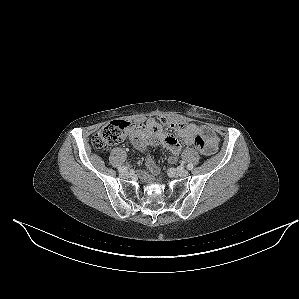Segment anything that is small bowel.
Here are the masks:
<instances>
[{"label": "small bowel", "mask_w": 299, "mask_h": 299, "mask_svg": "<svg viewBox=\"0 0 299 299\" xmlns=\"http://www.w3.org/2000/svg\"><path fill=\"white\" fill-rule=\"evenodd\" d=\"M198 135L203 136L207 143L209 148L207 154L213 153L219 143L218 137L209 127L200 126L196 123H188L184 125L176 130L173 135L168 134L163 130L162 119L149 118L146 123L143 124V128L131 131L130 141L133 146L141 152H144L148 145L161 144L171 152L169 161L175 162L182 148V144L186 146L192 145ZM178 138L181 139V142ZM145 163L152 173H157L158 167L151 157L147 156Z\"/></svg>", "instance_id": "obj_1"}]
</instances>
